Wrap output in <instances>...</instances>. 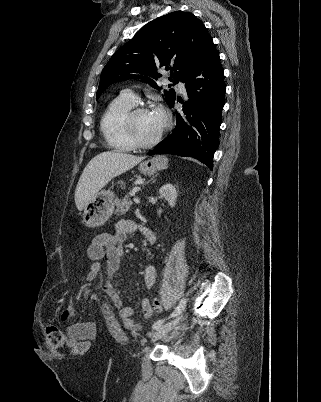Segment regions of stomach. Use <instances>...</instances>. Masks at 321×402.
Wrapping results in <instances>:
<instances>
[{
    "label": "stomach",
    "mask_w": 321,
    "mask_h": 402,
    "mask_svg": "<svg viewBox=\"0 0 321 402\" xmlns=\"http://www.w3.org/2000/svg\"><path fill=\"white\" fill-rule=\"evenodd\" d=\"M168 160L164 156H155L142 162L140 171L145 175H152L158 170L167 167ZM115 207V195L110 190L98 192L83 209V223L88 227L102 226L113 214Z\"/></svg>",
    "instance_id": "stomach-1"
}]
</instances>
